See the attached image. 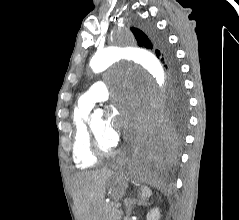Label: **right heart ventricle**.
Wrapping results in <instances>:
<instances>
[{
    "mask_svg": "<svg viewBox=\"0 0 239 220\" xmlns=\"http://www.w3.org/2000/svg\"><path fill=\"white\" fill-rule=\"evenodd\" d=\"M90 109L91 107L78 103L72 114V156L75 165L82 169L93 167L97 163V157L93 155L89 144L87 116Z\"/></svg>",
    "mask_w": 239,
    "mask_h": 220,
    "instance_id": "e07e8e85",
    "label": "right heart ventricle"
}]
</instances>
